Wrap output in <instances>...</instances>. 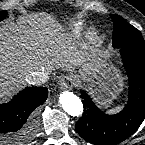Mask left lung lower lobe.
I'll return each mask as SVG.
<instances>
[{"label":"left lung lower lobe","instance_id":"obj_1","mask_svg":"<svg viewBox=\"0 0 145 145\" xmlns=\"http://www.w3.org/2000/svg\"><path fill=\"white\" fill-rule=\"evenodd\" d=\"M129 77V96L124 109L115 115L102 112L82 92L84 113L75 128L86 141L97 145L117 144L131 136L145 119V52L121 47Z\"/></svg>","mask_w":145,"mask_h":145}]
</instances>
